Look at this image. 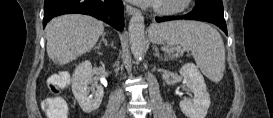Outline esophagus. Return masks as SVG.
<instances>
[{
    "label": "esophagus",
    "instance_id": "1",
    "mask_svg": "<svg viewBox=\"0 0 273 118\" xmlns=\"http://www.w3.org/2000/svg\"><path fill=\"white\" fill-rule=\"evenodd\" d=\"M125 7H126V12L129 15H133V14H138L139 13V10L137 8H135V7H132L131 5L126 4Z\"/></svg>",
    "mask_w": 273,
    "mask_h": 118
}]
</instances>
